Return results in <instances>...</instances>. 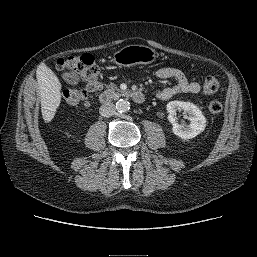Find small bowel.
Here are the masks:
<instances>
[{
	"label": "small bowel",
	"instance_id": "obj_1",
	"mask_svg": "<svg viewBox=\"0 0 257 257\" xmlns=\"http://www.w3.org/2000/svg\"><path fill=\"white\" fill-rule=\"evenodd\" d=\"M156 76L160 79H173L176 84L172 87H166L156 93L159 100H168L180 93L197 94L201 90L198 82L190 81L186 75L177 68L162 67L156 71Z\"/></svg>",
	"mask_w": 257,
	"mask_h": 257
}]
</instances>
